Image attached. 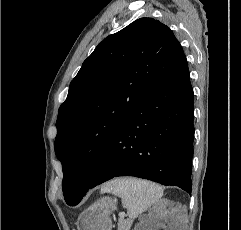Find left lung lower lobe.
I'll return each instance as SVG.
<instances>
[{
    "label": "left lung lower lobe",
    "instance_id": "1",
    "mask_svg": "<svg viewBox=\"0 0 241 230\" xmlns=\"http://www.w3.org/2000/svg\"><path fill=\"white\" fill-rule=\"evenodd\" d=\"M193 89L186 57L92 158L86 192L118 176H135L191 193ZM88 167V165H87Z\"/></svg>",
    "mask_w": 241,
    "mask_h": 230
}]
</instances>
